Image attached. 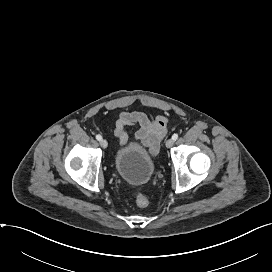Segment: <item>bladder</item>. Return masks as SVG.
Wrapping results in <instances>:
<instances>
[{
	"instance_id": "bladder-1",
	"label": "bladder",
	"mask_w": 272,
	"mask_h": 272,
	"mask_svg": "<svg viewBox=\"0 0 272 272\" xmlns=\"http://www.w3.org/2000/svg\"><path fill=\"white\" fill-rule=\"evenodd\" d=\"M114 167L119 176L133 185H144L155 170L153 157L141 146L130 143L117 150Z\"/></svg>"
}]
</instances>
